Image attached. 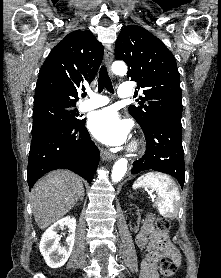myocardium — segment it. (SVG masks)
<instances>
[{"instance_id": "myocardium-1", "label": "myocardium", "mask_w": 221, "mask_h": 278, "mask_svg": "<svg viewBox=\"0 0 221 278\" xmlns=\"http://www.w3.org/2000/svg\"><path fill=\"white\" fill-rule=\"evenodd\" d=\"M139 145H140L139 141H134V142L131 144L130 148H129L130 151H131V152L137 151L138 148H139Z\"/></svg>"}]
</instances>
